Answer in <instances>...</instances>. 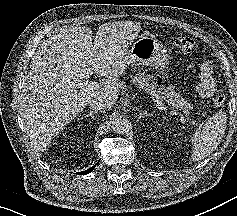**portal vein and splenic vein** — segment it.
Instances as JSON below:
<instances>
[{
	"mask_svg": "<svg viewBox=\"0 0 237 216\" xmlns=\"http://www.w3.org/2000/svg\"><path fill=\"white\" fill-rule=\"evenodd\" d=\"M87 84V83H86ZM84 85V83L83 82H80V83H78V86L81 88L82 86ZM181 120H183L184 121V117H182L181 116Z\"/></svg>",
	"mask_w": 237,
	"mask_h": 216,
	"instance_id": "18ae733b",
	"label": "portal vein and splenic vein"
}]
</instances>
